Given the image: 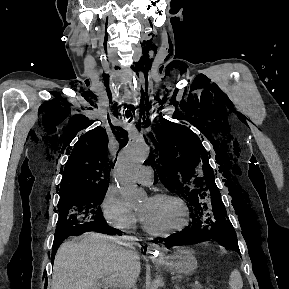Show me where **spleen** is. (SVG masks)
I'll return each mask as SVG.
<instances>
[{"label": "spleen", "instance_id": "1", "mask_svg": "<svg viewBox=\"0 0 289 289\" xmlns=\"http://www.w3.org/2000/svg\"><path fill=\"white\" fill-rule=\"evenodd\" d=\"M229 287L230 289H242L243 287L242 277L237 269H234L230 274Z\"/></svg>", "mask_w": 289, "mask_h": 289}]
</instances>
